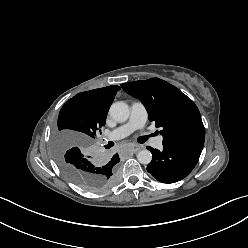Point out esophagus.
I'll list each match as a JSON object with an SVG mask.
<instances>
[{"label": "esophagus", "mask_w": 248, "mask_h": 248, "mask_svg": "<svg viewBox=\"0 0 248 248\" xmlns=\"http://www.w3.org/2000/svg\"><path fill=\"white\" fill-rule=\"evenodd\" d=\"M131 150H132V152L136 153L139 150H141V146L137 145V144H133L132 147H131Z\"/></svg>", "instance_id": "esophagus-1"}]
</instances>
